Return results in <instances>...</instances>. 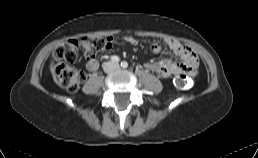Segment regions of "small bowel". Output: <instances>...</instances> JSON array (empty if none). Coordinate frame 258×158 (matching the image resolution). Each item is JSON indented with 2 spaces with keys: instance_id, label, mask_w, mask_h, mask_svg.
<instances>
[{
  "instance_id": "1",
  "label": "small bowel",
  "mask_w": 258,
  "mask_h": 158,
  "mask_svg": "<svg viewBox=\"0 0 258 158\" xmlns=\"http://www.w3.org/2000/svg\"><path fill=\"white\" fill-rule=\"evenodd\" d=\"M109 38L112 42L113 38ZM125 41L132 45H137L138 43L133 36H126ZM164 46L170 48L180 58V61L175 62L170 59H161L145 64L146 69L156 73L162 78L180 74H184L187 77L195 76L198 67V57L189 47L175 38L168 37L152 44L151 49L152 51H159ZM86 67L89 71H96L99 68V62L95 57H87Z\"/></svg>"
}]
</instances>
